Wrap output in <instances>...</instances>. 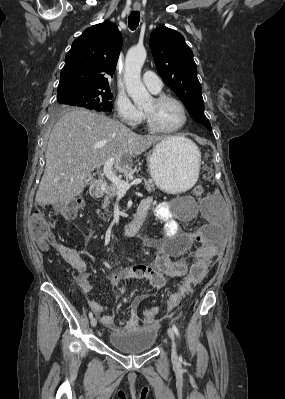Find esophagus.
<instances>
[{
  "mask_svg": "<svg viewBox=\"0 0 285 399\" xmlns=\"http://www.w3.org/2000/svg\"><path fill=\"white\" fill-rule=\"evenodd\" d=\"M134 9H135V10H139L140 8H138V7H134Z\"/></svg>",
  "mask_w": 285,
  "mask_h": 399,
  "instance_id": "1",
  "label": "esophagus"
}]
</instances>
